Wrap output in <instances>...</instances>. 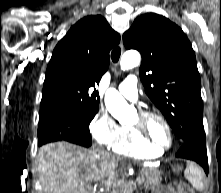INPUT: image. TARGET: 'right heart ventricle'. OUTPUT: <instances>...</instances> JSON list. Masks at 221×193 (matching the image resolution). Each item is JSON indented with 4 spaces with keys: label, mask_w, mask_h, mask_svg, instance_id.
<instances>
[{
    "label": "right heart ventricle",
    "mask_w": 221,
    "mask_h": 193,
    "mask_svg": "<svg viewBox=\"0 0 221 193\" xmlns=\"http://www.w3.org/2000/svg\"><path fill=\"white\" fill-rule=\"evenodd\" d=\"M110 148L118 155L135 158H152L160 155L159 151L143 143L128 125L121 126L120 136Z\"/></svg>",
    "instance_id": "obj_1"
}]
</instances>
